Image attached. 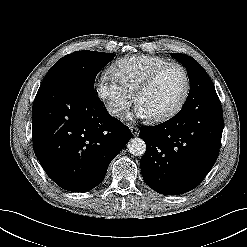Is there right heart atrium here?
<instances>
[{"label": "right heart atrium", "instance_id": "1", "mask_svg": "<svg viewBox=\"0 0 247 247\" xmlns=\"http://www.w3.org/2000/svg\"><path fill=\"white\" fill-rule=\"evenodd\" d=\"M95 92L103 102L106 111L113 117H119L133 102L132 96L122 88L109 72L98 78Z\"/></svg>", "mask_w": 247, "mask_h": 247}]
</instances>
